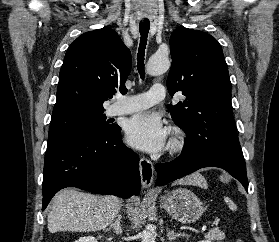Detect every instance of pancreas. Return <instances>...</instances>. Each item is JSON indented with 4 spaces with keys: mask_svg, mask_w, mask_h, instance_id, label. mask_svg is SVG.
<instances>
[{
    "mask_svg": "<svg viewBox=\"0 0 279 242\" xmlns=\"http://www.w3.org/2000/svg\"><path fill=\"white\" fill-rule=\"evenodd\" d=\"M224 238H225V234L217 228L210 230L208 232V234L206 235V239H208V240L221 241Z\"/></svg>",
    "mask_w": 279,
    "mask_h": 242,
    "instance_id": "pancreas-1",
    "label": "pancreas"
}]
</instances>
